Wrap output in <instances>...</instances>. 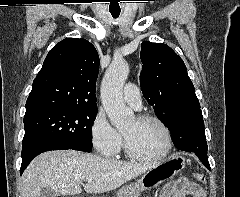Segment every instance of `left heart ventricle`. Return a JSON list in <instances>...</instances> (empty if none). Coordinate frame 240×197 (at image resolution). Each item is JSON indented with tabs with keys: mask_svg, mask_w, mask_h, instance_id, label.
<instances>
[{
	"mask_svg": "<svg viewBox=\"0 0 240 197\" xmlns=\"http://www.w3.org/2000/svg\"><path fill=\"white\" fill-rule=\"evenodd\" d=\"M122 132L140 154L155 156L163 152L166 147L165 133L156 122L138 121L134 118Z\"/></svg>",
	"mask_w": 240,
	"mask_h": 197,
	"instance_id": "1",
	"label": "left heart ventricle"
}]
</instances>
